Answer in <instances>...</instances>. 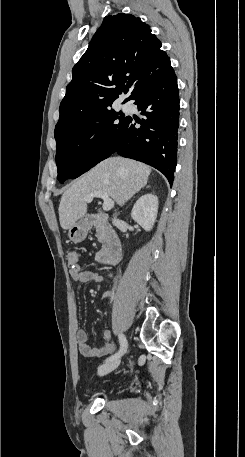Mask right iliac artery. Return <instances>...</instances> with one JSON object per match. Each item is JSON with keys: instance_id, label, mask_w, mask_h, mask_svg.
Wrapping results in <instances>:
<instances>
[{"instance_id": "82829eb1", "label": "right iliac artery", "mask_w": 245, "mask_h": 457, "mask_svg": "<svg viewBox=\"0 0 245 457\" xmlns=\"http://www.w3.org/2000/svg\"><path fill=\"white\" fill-rule=\"evenodd\" d=\"M119 343H120L119 351L117 353H115L114 355H112L111 357L107 358L106 361L120 358L127 351L128 343H127L126 337L122 333L119 334Z\"/></svg>"}]
</instances>
